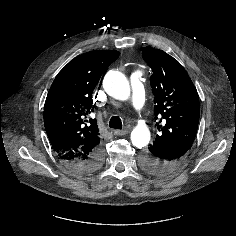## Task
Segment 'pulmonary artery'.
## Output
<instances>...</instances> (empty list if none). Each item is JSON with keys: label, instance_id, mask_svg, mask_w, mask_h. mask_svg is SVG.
<instances>
[{"label": "pulmonary artery", "instance_id": "pulmonary-artery-1", "mask_svg": "<svg viewBox=\"0 0 236 236\" xmlns=\"http://www.w3.org/2000/svg\"><path fill=\"white\" fill-rule=\"evenodd\" d=\"M143 73L136 70L131 75V101L136 112L140 113L144 109L145 94L142 84Z\"/></svg>", "mask_w": 236, "mask_h": 236}]
</instances>
